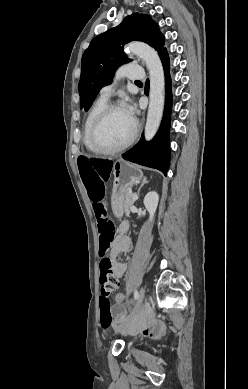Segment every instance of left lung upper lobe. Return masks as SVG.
<instances>
[{
    "mask_svg": "<svg viewBox=\"0 0 248 389\" xmlns=\"http://www.w3.org/2000/svg\"><path fill=\"white\" fill-rule=\"evenodd\" d=\"M142 41L158 53L164 49L165 38L158 24L147 14L133 13L123 22L95 37L85 50L81 61L78 84L80 106L90 108L100 89L112 81L113 73L123 63L131 61L123 52V45Z\"/></svg>",
    "mask_w": 248,
    "mask_h": 389,
    "instance_id": "5c2ea615",
    "label": "left lung upper lobe"
}]
</instances>
